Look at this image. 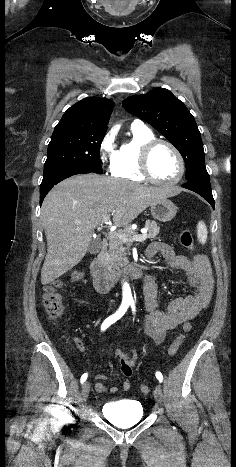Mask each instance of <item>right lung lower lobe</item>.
<instances>
[{"mask_svg": "<svg viewBox=\"0 0 236 467\" xmlns=\"http://www.w3.org/2000/svg\"><path fill=\"white\" fill-rule=\"evenodd\" d=\"M90 172L92 171L80 167H63L44 174L40 186V205L47 193L60 181L76 174H85Z\"/></svg>", "mask_w": 236, "mask_h": 467, "instance_id": "obj_1", "label": "right lung lower lobe"}]
</instances>
